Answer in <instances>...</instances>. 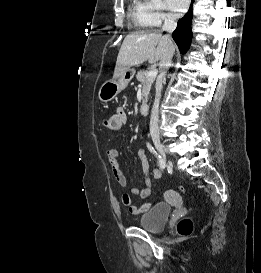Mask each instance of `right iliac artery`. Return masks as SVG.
I'll use <instances>...</instances> for the list:
<instances>
[{
  "label": "right iliac artery",
  "instance_id": "obj_1",
  "mask_svg": "<svg viewBox=\"0 0 261 273\" xmlns=\"http://www.w3.org/2000/svg\"><path fill=\"white\" fill-rule=\"evenodd\" d=\"M147 147H148V149H149L151 152L155 153L156 156H157L156 151L154 150V148H153L149 143H147ZM157 157H158V160H159V166H160V168H161V169H164V168H165V162L163 161V159L161 158L160 155H158Z\"/></svg>",
  "mask_w": 261,
  "mask_h": 273
}]
</instances>
